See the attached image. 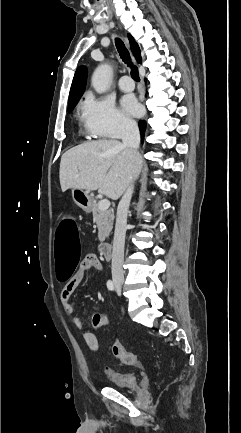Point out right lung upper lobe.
<instances>
[{"label": "right lung upper lobe", "mask_w": 241, "mask_h": 433, "mask_svg": "<svg viewBox=\"0 0 241 433\" xmlns=\"http://www.w3.org/2000/svg\"><path fill=\"white\" fill-rule=\"evenodd\" d=\"M128 38L130 41L131 50L137 60V62L141 63V54L140 49L136 41L133 39V37L128 34ZM86 78H87V69L84 66L79 67L74 75L72 86L70 89V95H69V106L72 107L77 104L80 97L82 96L85 85H86Z\"/></svg>", "instance_id": "right-lung-upper-lobe-1"}]
</instances>
